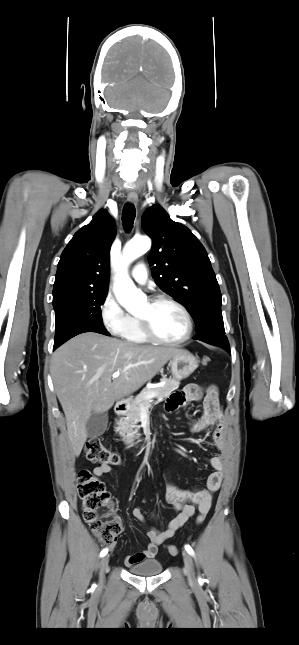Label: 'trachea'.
<instances>
[{
    "mask_svg": "<svg viewBox=\"0 0 299 645\" xmlns=\"http://www.w3.org/2000/svg\"><path fill=\"white\" fill-rule=\"evenodd\" d=\"M135 216L136 210L134 205L132 203H126L122 212V222L126 231H130L133 228Z\"/></svg>",
    "mask_w": 299,
    "mask_h": 645,
    "instance_id": "1",
    "label": "trachea"
}]
</instances>
